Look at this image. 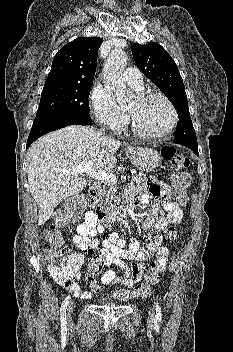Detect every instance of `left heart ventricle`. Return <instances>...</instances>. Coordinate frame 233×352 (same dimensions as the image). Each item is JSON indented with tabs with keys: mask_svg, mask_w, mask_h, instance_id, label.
Instances as JSON below:
<instances>
[{
	"mask_svg": "<svg viewBox=\"0 0 233 352\" xmlns=\"http://www.w3.org/2000/svg\"><path fill=\"white\" fill-rule=\"evenodd\" d=\"M127 112L141 129L150 133L165 131L172 120L168 105L159 98H153L146 102L135 99L128 107Z\"/></svg>",
	"mask_w": 233,
	"mask_h": 352,
	"instance_id": "1",
	"label": "left heart ventricle"
}]
</instances>
